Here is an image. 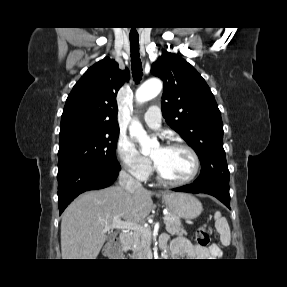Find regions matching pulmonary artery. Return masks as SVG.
<instances>
[{
  "label": "pulmonary artery",
  "instance_id": "pulmonary-artery-1",
  "mask_svg": "<svg viewBox=\"0 0 287 287\" xmlns=\"http://www.w3.org/2000/svg\"><path fill=\"white\" fill-rule=\"evenodd\" d=\"M145 123L153 129H158L161 125V115L158 106H151L145 112L144 116Z\"/></svg>",
  "mask_w": 287,
  "mask_h": 287
}]
</instances>
